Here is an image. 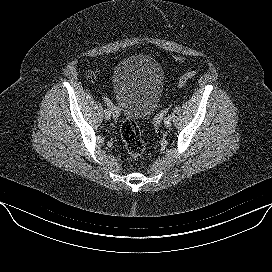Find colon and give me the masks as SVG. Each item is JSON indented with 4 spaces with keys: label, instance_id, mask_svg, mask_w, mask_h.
<instances>
[{
    "label": "colon",
    "instance_id": "obj_1",
    "mask_svg": "<svg viewBox=\"0 0 272 272\" xmlns=\"http://www.w3.org/2000/svg\"><path fill=\"white\" fill-rule=\"evenodd\" d=\"M197 74V71H189L183 74L175 83L177 87H183ZM88 78L93 80L96 77L94 72L88 73ZM121 137L127 154L134 158H140L145 150L146 144L141 137L138 125L131 119H125L121 125Z\"/></svg>",
    "mask_w": 272,
    "mask_h": 272
}]
</instances>
